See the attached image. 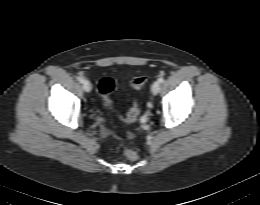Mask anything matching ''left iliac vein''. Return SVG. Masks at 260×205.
Returning <instances> with one entry per match:
<instances>
[{
	"label": "left iliac vein",
	"instance_id": "obj_1",
	"mask_svg": "<svg viewBox=\"0 0 260 205\" xmlns=\"http://www.w3.org/2000/svg\"><path fill=\"white\" fill-rule=\"evenodd\" d=\"M151 91L154 95L158 94L160 91V83L155 81L151 86Z\"/></svg>",
	"mask_w": 260,
	"mask_h": 205
}]
</instances>
